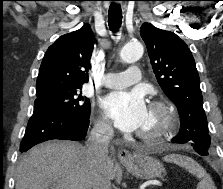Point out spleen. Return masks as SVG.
Returning a JSON list of instances; mask_svg holds the SVG:
<instances>
[{
	"mask_svg": "<svg viewBox=\"0 0 223 189\" xmlns=\"http://www.w3.org/2000/svg\"><path fill=\"white\" fill-rule=\"evenodd\" d=\"M163 159L166 162L175 163L178 166L185 168L189 173L199 178L201 181L197 185V189H216L210 175H208L204 168L192 158L179 154H170L165 156Z\"/></svg>",
	"mask_w": 223,
	"mask_h": 189,
	"instance_id": "1",
	"label": "spleen"
}]
</instances>
